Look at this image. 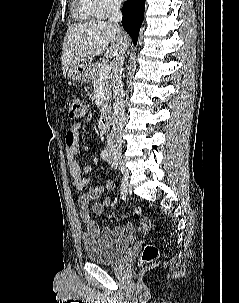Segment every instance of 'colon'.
Masks as SVG:
<instances>
[{"mask_svg": "<svg viewBox=\"0 0 239 303\" xmlns=\"http://www.w3.org/2000/svg\"><path fill=\"white\" fill-rule=\"evenodd\" d=\"M67 107H68V119L71 122H77L84 117H86L89 113L88 105L86 102L81 99L80 97L73 96L69 98L67 102ZM134 213L137 215L142 214L141 208L137 207L134 209ZM158 256V250L156 246L153 243H148L140 257V263L142 265L144 264H149L153 262Z\"/></svg>", "mask_w": 239, "mask_h": 303, "instance_id": "obj_1", "label": "colon"}]
</instances>
